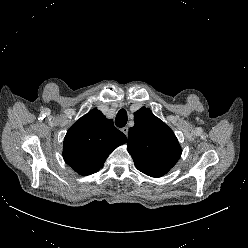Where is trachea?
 Masks as SVG:
<instances>
[{"mask_svg":"<svg viewBox=\"0 0 248 248\" xmlns=\"http://www.w3.org/2000/svg\"><path fill=\"white\" fill-rule=\"evenodd\" d=\"M127 123V112L125 109L118 111L115 119V124L117 127H124Z\"/></svg>","mask_w":248,"mask_h":248,"instance_id":"1","label":"trachea"}]
</instances>
